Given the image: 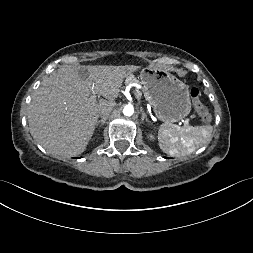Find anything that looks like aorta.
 Returning a JSON list of instances; mask_svg holds the SVG:
<instances>
[{
	"label": "aorta",
	"mask_w": 253,
	"mask_h": 253,
	"mask_svg": "<svg viewBox=\"0 0 253 253\" xmlns=\"http://www.w3.org/2000/svg\"><path fill=\"white\" fill-rule=\"evenodd\" d=\"M134 113V108L132 105L128 104L123 108V114L125 116H131Z\"/></svg>",
	"instance_id": "762f6f07"
}]
</instances>
